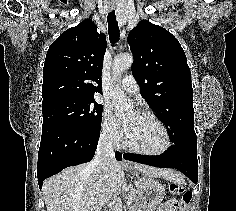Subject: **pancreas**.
<instances>
[{"mask_svg":"<svg viewBox=\"0 0 236 211\" xmlns=\"http://www.w3.org/2000/svg\"><path fill=\"white\" fill-rule=\"evenodd\" d=\"M126 199L127 200L131 199V204L129 205V211H142L137 193L130 192L129 194H127ZM113 211H122V210L118 206H114Z\"/></svg>","mask_w":236,"mask_h":211,"instance_id":"obj_1","label":"pancreas"}]
</instances>
